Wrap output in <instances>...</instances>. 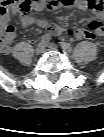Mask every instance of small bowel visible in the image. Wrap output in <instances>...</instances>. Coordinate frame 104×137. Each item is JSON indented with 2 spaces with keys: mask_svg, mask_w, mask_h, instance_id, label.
Returning <instances> with one entry per match:
<instances>
[{
  "mask_svg": "<svg viewBox=\"0 0 104 137\" xmlns=\"http://www.w3.org/2000/svg\"><path fill=\"white\" fill-rule=\"evenodd\" d=\"M46 0H29L30 7H41ZM54 6H74L81 11H90L95 15V20L89 24V28H85L83 26H79L75 28L73 31L71 30V34L77 39H95L102 34V23L101 19L103 17V7L101 0H52L51 2ZM9 6H5L1 8L0 11V23L2 26H7L9 24ZM21 24L24 27L31 26L37 23V20L27 12L21 11ZM94 22H99L101 27L99 28H91V24ZM56 33L62 32L61 28L54 29ZM15 38V30L12 34L7 35L1 42H0V49L3 52H9L10 45Z\"/></svg>",
  "mask_w": 104,
  "mask_h": 137,
  "instance_id": "obj_1",
  "label": "small bowel"
}]
</instances>
